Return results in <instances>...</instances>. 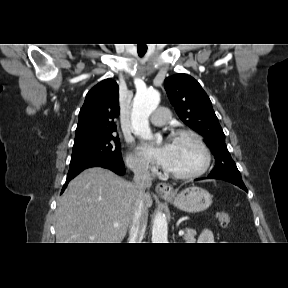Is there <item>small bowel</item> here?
I'll return each instance as SVG.
<instances>
[{"label":"small bowel","mask_w":288,"mask_h":288,"mask_svg":"<svg viewBox=\"0 0 288 288\" xmlns=\"http://www.w3.org/2000/svg\"><path fill=\"white\" fill-rule=\"evenodd\" d=\"M198 242L203 244L214 243V235L212 231L204 229L199 235Z\"/></svg>","instance_id":"c3829d8e"}]
</instances>
